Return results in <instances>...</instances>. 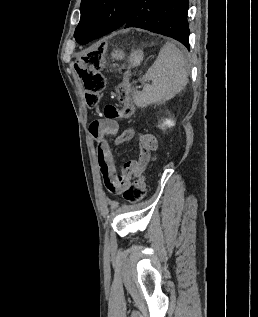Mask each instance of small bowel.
<instances>
[{
    "instance_id": "small-bowel-1",
    "label": "small bowel",
    "mask_w": 258,
    "mask_h": 317,
    "mask_svg": "<svg viewBox=\"0 0 258 317\" xmlns=\"http://www.w3.org/2000/svg\"><path fill=\"white\" fill-rule=\"evenodd\" d=\"M89 130L97 143V162L100 173L106 188L111 193H122L130 184V180L140 176L148 164L155 159L158 143L151 134L133 128L120 130L116 121L105 118L93 121ZM111 136H116V145L124 142H137L139 145L138 158L126 162L120 175L117 173L115 159L108 142Z\"/></svg>"
}]
</instances>
